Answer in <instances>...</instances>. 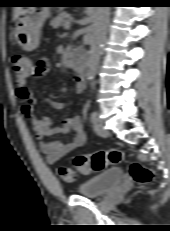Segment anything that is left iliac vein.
Wrapping results in <instances>:
<instances>
[{
    "label": "left iliac vein",
    "mask_w": 170,
    "mask_h": 231,
    "mask_svg": "<svg viewBox=\"0 0 170 231\" xmlns=\"http://www.w3.org/2000/svg\"><path fill=\"white\" fill-rule=\"evenodd\" d=\"M98 120V118H97ZM95 121L94 124V131L97 135L101 136V137H107L109 136V131L98 121Z\"/></svg>",
    "instance_id": "4c4485c4"
}]
</instances>
